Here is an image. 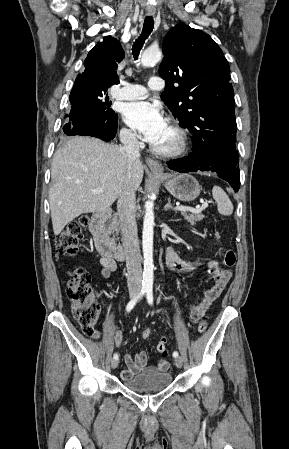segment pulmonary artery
I'll return each mask as SVG.
<instances>
[{
	"label": "pulmonary artery",
	"instance_id": "pulmonary-artery-1",
	"mask_svg": "<svg viewBox=\"0 0 289 449\" xmlns=\"http://www.w3.org/2000/svg\"><path fill=\"white\" fill-rule=\"evenodd\" d=\"M151 90H161L164 88V80L160 77H151L148 82ZM147 88L139 84L123 82L121 87L112 90V97L119 100L142 99L147 95Z\"/></svg>",
	"mask_w": 289,
	"mask_h": 449
}]
</instances>
